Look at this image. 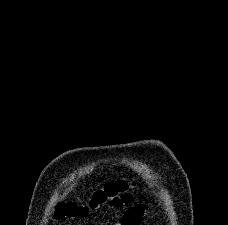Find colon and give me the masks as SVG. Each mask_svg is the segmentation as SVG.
<instances>
[{"label":"colon","instance_id":"1","mask_svg":"<svg viewBox=\"0 0 228 225\" xmlns=\"http://www.w3.org/2000/svg\"><path fill=\"white\" fill-rule=\"evenodd\" d=\"M137 185L129 180H117L98 189L86 202H61L55 209V220H72L88 215L100 206L122 208L132 201Z\"/></svg>","mask_w":228,"mask_h":225}]
</instances>
